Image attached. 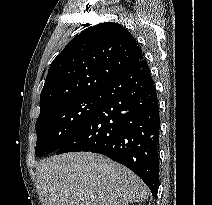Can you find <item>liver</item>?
<instances>
[{"instance_id":"1","label":"liver","mask_w":212,"mask_h":205,"mask_svg":"<svg viewBox=\"0 0 212 205\" xmlns=\"http://www.w3.org/2000/svg\"><path fill=\"white\" fill-rule=\"evenodd\" d=\"M36 175L43 205H128L149 195L131 170L92 152L47 158Z\"/></svg>"}]
</instances>
